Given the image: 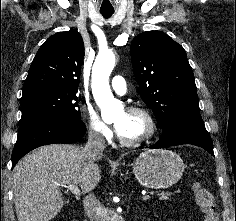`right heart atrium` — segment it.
Here are the masks:
<instances>
[{
  "mask_svg": "<svg viewBox=\"0 0 236 221\" xmlns=\"http://www.w3.org/2000/svg\"><path fill=\"white\" fill-rule=\"evenodd\" d=\"M87 133L98 142H108L113 136L111 127L101 118L96 108L86 105L83 114Z\"/></svg>",
  "mask_w": 236,
  "mask_h": 221,
  "instance_id": "right-heart-atrium-1",
  "label": "right heart atrium"
}]
</instances>
